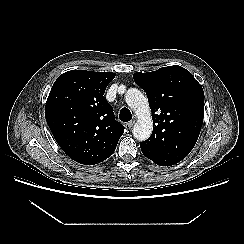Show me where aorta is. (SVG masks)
<instances>
[{"mask_svg":"<svg viewBox=\"0 0 244 244\" xmlns=\"http://www.w3.org/2000/svg\"><path fill=\"white\" fill-rule=\"evenodd\" d=\"M125 101L137 116L133 136L139 141L148 139L152 133L153 122L146 96L140 90L130 88L125 94Z\"/></svg>","mask_w":244,"mask_h":244,"instance_id":"obj_1","label":"aorta"}]
</instances>
